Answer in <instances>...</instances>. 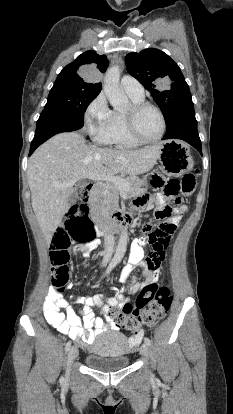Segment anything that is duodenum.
Returning <instances> with one entry per match:
<instances>
[{
    "instance_id": "duodenum-1",
    "label": "duodenum",
    "mask_w": 233,
    "mask_h": 414,
    "mask_svg": "<svg viewBox=\"0 0 233 414\" xmlns=\"http://www.w3.org/2000/svg\"><path fill=\"white\" fill-rule=\"evenodd\" d=\"M87 197L82 198V203L87 204L91 209V220L96 222L97 232L104 234L105 232H115L121 230L127 224L129 218L122 212H115L109 220L103 219V213L100 211L102 206L97 203L101 199V190L97 186L89 185L86 188Z\"/></svg>"
}]
</instances>
